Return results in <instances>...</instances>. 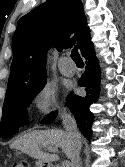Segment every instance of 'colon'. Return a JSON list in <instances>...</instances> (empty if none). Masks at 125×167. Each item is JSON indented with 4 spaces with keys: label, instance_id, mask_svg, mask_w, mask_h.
I'll list each match as a JSON object with an SVG mask.
<instances>
[{
    "label": "colon",
    "instance_id": "1",
    "mask_svg": "<svg viewBox=\"0 0 125 167\" xmlns=\"http://www.w3.org/2000/svg\"><path fill=\"white\" fill-rule=\"evenodd\" d=\"M15 167H30V164L27 161H21L18 165H15Z\"/></svg>",
    "mask_w": 125,
    "mask_h": 167
}]
</instances>
